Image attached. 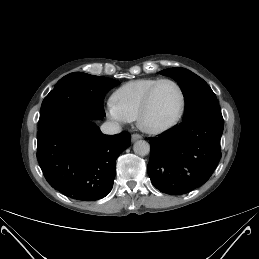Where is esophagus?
I'll use <instances>...</instances> for the list:
<instances>
[{
	"mask_svg": "<svg viewBox=\"0 0 259 259\" xmlns=\"http://www.w3.org/2000/svg\"><path fill=\"white\" fill-rule=\"evenodd\" d=\"M141 138H142V136L139 135V134H132V136H131L132 142H135V141H137V140H139Z\"/></svg>",
	"mask_w": 259,
	"mask_h": 259,
	"instance_id": "1",
	"label": "esophagus"
}]
</instances>
